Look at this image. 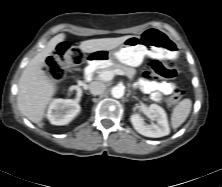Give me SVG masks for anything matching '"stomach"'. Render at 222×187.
<instances>
[{
    "mask_svg": "<svg viewBox=\"0 0 222 187\" xmlns=\"http://www.w3.org/2000/svg\"><path fill=\"white\" fill-rule=\"evenodd\" d=\"M179 54L177 42L166 31L159 28H148L139 36H131L113 50H98L90 53L92 65L107 62H120L137 67L144 57L174 59Z\"/></svg>",
    "mask_w": 222,
    "mask_h": 187,
    "instance_id": "obj_1",
    "label": "stomach"
}]
</instances>
